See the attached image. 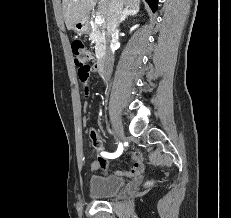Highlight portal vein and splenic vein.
<instances>
[{
    "label": "portal vein and splenic vein",
    "mask_w": 231,
    "mask_h": 218,
    "mask_svg": "<svg viewBox=\"0 0 231 218\" xmlns=\"http://www.w3.org/2000/svg\"><path fill=\"white\" fill-rule=\"evenodd\" d=\"M103 22H104V19L102 18L101 15H97V16L95 17V23H96V24H102Z\"/></svg>",
    "instance_id": "1"
}]
</instances>
